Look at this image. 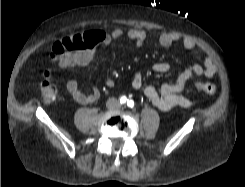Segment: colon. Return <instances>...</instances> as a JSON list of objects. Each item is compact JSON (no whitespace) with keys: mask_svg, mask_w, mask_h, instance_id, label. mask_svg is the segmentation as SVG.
<instances>
[{"mask_svg":"<svg viewBox=\"0 0 245 187\" xmlns=\"http://www.w3.org/2000/svg\"><path fill=\"white\" fill-rule=\"evenodd\" d=\"M89 48L86 33H77L62 38L56 42L52 47V57L57 59L69 53L83 51ZM193 86L198 91L207 94L215 95L217 93V86L213 83L195 81ZM41 92L44 102L51 103L55 101L59 95V88L55 83L52 71L47 69L43 72V80L41 83Z\"/></svg>","mask_w":245,"mask_h":187,"instance_id":"1","label":"colon"}]
</instances>
